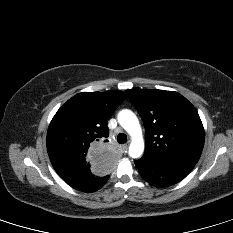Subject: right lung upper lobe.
Segmentation results:
<instances>
[{"mask_svg":"<svg viewBox=\"0 0 233 233\" xmlns=\"http://www.w3.org/2000/svg\"><path fill=\"white\" fill-rule=\"evenodd\" d=\"M125 99L117 90L82 92L60 107L48 128L47 151L61 178L110 173L114 152L107 121Z\"/></svg>","mask_w":233,"mask_h":233,"instance_id":"1","label":"right lung upper lobe"}]
</instances>
